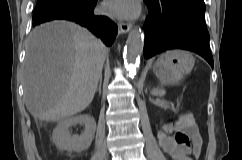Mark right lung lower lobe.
Segmentation results:
<instances>
[{"label":"right lung lower lobe","instance_id":"obj_1","mask_svg":"<svg viewBox=\"0 0 242 160\" xmlns=\"http://www.w3.org/2000/svg\"><path fill=\"white\" fill-rule=\"evenodd\" d=\"M97 0H50L36 6L34 25L64 19L74 21L88 28L110 46L118 32L117 25L105 16L93 14Z\"/></svg>","mask_w":242,"mask_h":160}]
</instances>
